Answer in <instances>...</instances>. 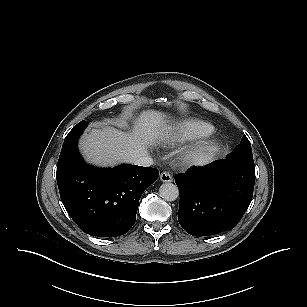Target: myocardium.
<instances>
[{
    "label": "myocardium",
    "instance_id": "myocardium-1",
    "mask_svg": "<svg viewBox=\"0 0 307 307\" xmlns=\"http://www.w3.org/2000/svg\"><path fill=\"white\" fill-rule=\"evenodd\" d=\"M220 145L219 140L213 137L203 138L182 152L181 162L188 166L201 163L215 155Z\"/></svg>",
    "mask_w": 307,
    "mask_h": 307
}]
</instances>
